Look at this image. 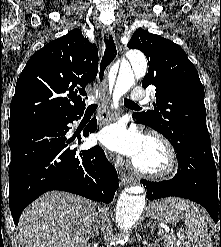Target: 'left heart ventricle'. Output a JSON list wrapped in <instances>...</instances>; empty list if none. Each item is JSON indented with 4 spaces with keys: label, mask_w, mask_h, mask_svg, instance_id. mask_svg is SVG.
<instances>
[{
    "label": "left heart ventricle",
    "mask_w": 221,
    "mask_h": 247,
    "mask_svg": "<svg viewBox=\"0 0 221 247\" xmlns=\"http://www.w3.org/2000/svg\"><path fill=\"white\" fill-rule=\"evenodd\" d=\"M133 160L140 168L147 171H160L167 164L164 149L157 142L147 138L141 151Z\"/></svg>",
    "instance_id": "1"
}]
</instances>
